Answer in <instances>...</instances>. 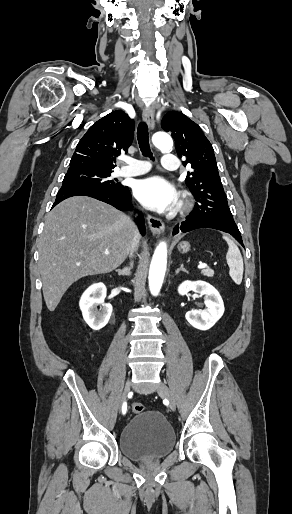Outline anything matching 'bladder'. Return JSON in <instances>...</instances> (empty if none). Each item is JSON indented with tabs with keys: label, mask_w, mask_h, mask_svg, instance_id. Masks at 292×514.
I'll use <instances>...</instances> for the list:
<instances>
[{
	"label": "bladder",
	"mask_w": 292,
	"mask_h": 514,
	"mask_svg": "<svg viewBox=\"0 0 292 514\" xmlns=\"http://www.w3.org/2000/svg\"><path fill=\"white\" fill-rule=\"evenodd\" d=\"M175 443L173 428L164 415L155 410L136 413L126 422L118 439L121 453L135 461L164 457Z\"/></svg>",
	"instance_id": "obj_1"
}]
</instances>
